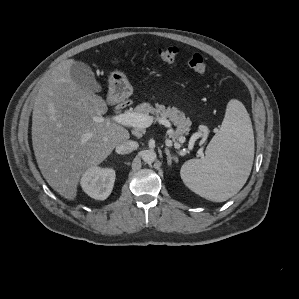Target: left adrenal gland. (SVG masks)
<instances>
[{"label": "left adrenal gland", "instance_id": "obj_1", "mask_svg": "<svg viewBox=\"0 0 299 299\" xmlns=\"http://www.w3.org/2000/svg\"><path fill=\"white\" fill-rule=\"evenodd\" d=\"M165 154L167 155V164H168V166H171L172 161H174L175 163L178 162L177 158L171 155L168 148H165Z\"/></svg>", "mask_w": 299, "mask_h": 299}]
</instances>
